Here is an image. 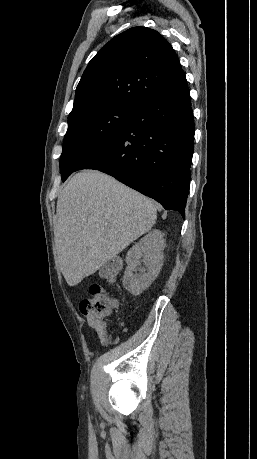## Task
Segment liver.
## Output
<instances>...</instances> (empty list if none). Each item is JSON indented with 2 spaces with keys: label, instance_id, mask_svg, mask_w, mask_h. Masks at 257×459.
Returning a JSON list of instances; mask_svg holds the SVG:
<instances>
[{
  "label": "liver",
  "instance_id": "6515ba94",
  "mask_svg": "<svg viewBox=\"0 0 257 459\" xmlns=\"http://www.w3.org/2000/svg\"><path fill=\"white\" fill-rule=\"evenodd\" d=\"M157 207L147 197L96 170L74 175L58 197L54 235L69 286L95 273L151 230Z\"/></svg>",
  "mask_w": 257,
  "mask_h": 459
}]
</instances>
